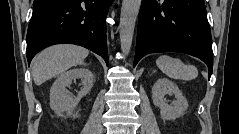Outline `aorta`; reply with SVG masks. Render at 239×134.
I'll return each mask as SVG.
<instances>
[{
  "label": "aorta",
  "instance_id": "762f6f07",
  "mask_svg": "<svg viewBox=\"0 0 239 134\" xmlns=\"http://www.w3.org/2000/svg\"><path fill=\"white\" fill-rule=\"evenodd\" d=\"M141 0H123L120 14L119 35L121 50L128 54L131 50L135 24Z\"/></svg>",
  "mask_w": 239,
  "mask_h": 134
}]
</instances>
